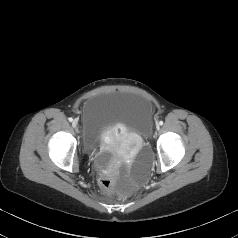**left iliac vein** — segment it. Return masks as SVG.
Masks as SVG:
<instances>
[{"mask_svg":"<svg viewBox=\"0 0 238 238\" xmlns=\"http://www.w3.org/2000/svg\"><path fill=\"white\" fill-rule=\"evenodd\" d=\"M156 129L159 130L160 129V126L159 124L156 125Z\"/></svg>","mask_w":238,"mask_h":238,"instance_id":"obj_1","label":"left iliac vein"}]
</instances>
